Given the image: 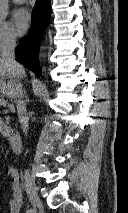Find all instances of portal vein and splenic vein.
<instances>
[{"label": "portal vein and splenic vein", "instance_id": "portal-vein-and-splenic-vein-1", "mask_svg": "<svg viewBox=\"0 0 128 213\" xmlns=\"http://www.w3.org/2000/svg\"><path fill=\"white\" fill-rule=\"evenodd\" d=\"M6 105H7V100L0 99V106H6Z\"/></svg>", "mask_w": 128, "mask_h": 213}]
</instances>
